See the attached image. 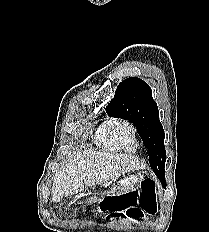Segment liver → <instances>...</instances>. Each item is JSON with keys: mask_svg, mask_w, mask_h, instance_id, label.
I'll return each instance as SVG.
<instances>
[{"mask_svg": "<svg viewBox=\"0 0 209 232\" xmlns=\"http://www.w3.org/2000/svg\"><path fill=\"white\" fill-rule=\"evenodd\" d=\"M144 168L145 165L131 155L89 150L76 155L56 175L51 192L54 198L71 196L84 187L109 183L122 174Z\"/></svg>", "mask_w": 209, "mask_h": 232, "instance_id": "obj_1", "label": "liver"}]
</instances>
